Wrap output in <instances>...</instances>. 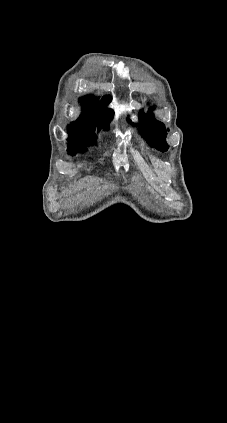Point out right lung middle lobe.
Listing matches in <instances>:
<instances>
[{
	"label": "right lung middle lobe",
	"instance_id": "right-lung-middle-lobe-1",
	"mask_svg": "<svg viewBox=\"0 0 227 423\" xmlns=\"http://www.w3.org/2000/svg\"><path fill=\"white\" fill-rule=\"evenodd\" d=\"M95 142H87V143L69 142V144H68V146H69L68 153L70 155H75L77 152H83V151L86 150V148H87L88 145H90L91 143H95Z\"/></svg>",
	"mask_w": 227,
	"mask_h": 423
}]
</instances>
